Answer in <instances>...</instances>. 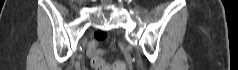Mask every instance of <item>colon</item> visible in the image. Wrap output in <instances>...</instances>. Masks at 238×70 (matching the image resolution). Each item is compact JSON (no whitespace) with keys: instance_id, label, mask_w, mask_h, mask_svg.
I'll list each match as a JSON object with an SVG mask.
<instances>
[{"instance_id":"5ec220e1","label":"colon","mask_w":238,"mask_h":70,"mask_svg":"<svg viewBox=\"0 0 238 70\" xmlns=\"http://www.w3.org/2000/svg\"><path fill=\"white\" fill-rule=\"evenodd\" d=\"M98 40L106 38V33L103 31H98L95 34ZM89 55L92 57V66L96 70H125L126 66L123 62L116 63H106V61L101 57L103 51L98 49L94 44L89 47Z\"/></svg>"}]
</instances>
